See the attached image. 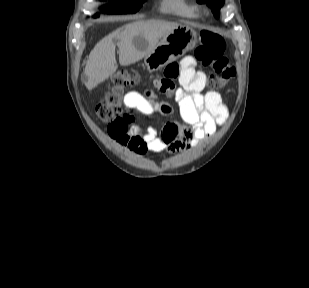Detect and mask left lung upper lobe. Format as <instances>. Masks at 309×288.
<instances>
[{"label": "left lung upper lobe", "mask_w": 309, "mask_h": 288, "mask_svg": "<svg viewBox=\"0 0 309 288\" xmlns=\"http://www.w3.org/2000/svg\"><path fill=\"white\" fill-rule=\"evenodd\" d=\"M199 3H207L211 7L214 15L218 17V12L224 4V0H197Z\"/></svg>", "instance_id": "obj_1"}]
</instances>
